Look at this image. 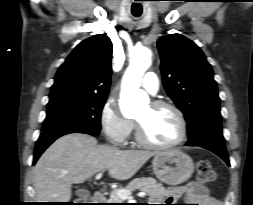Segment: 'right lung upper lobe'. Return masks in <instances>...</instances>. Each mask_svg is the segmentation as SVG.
<instances>
[{
	"mask_svg": "<svg viewBox=\"0 0 253 205\" xmlns=\"http://www.w3.org/2000/svg\"><path fill=\"white\" fill-rule=\"evenodd\" d=\"M112 50L111 40L104 34L78 44L58 70L50 100L67 96L107 97Z\"/></svg>",
	"mask_w": 253,
	"mask_h": 205,
	"instance_id": "1",
	"label": "right lung upper lobe"
}]
</instances>
